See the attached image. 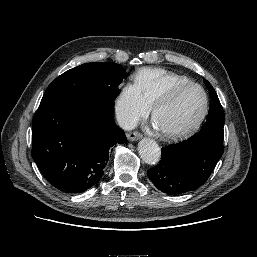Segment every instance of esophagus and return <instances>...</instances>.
Returning a JSON list of instances; mask_svg holds the SVG:
<instances>
[{"label":"esophagus","instance_id":"34e87169","mask_svg":"<svg viewBox=\"0 0 257 257\" xmlns=\"http://www.w3.org/2000/svg\"><path fill=\"white\" fill-rule=\"evenodd\" d=\"M127 138L129 141H137L141 138V134L139 132H130L127 134Z\"/></svg>","mask_w":257,"mask_h":257}]
</instances>
